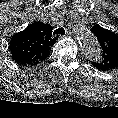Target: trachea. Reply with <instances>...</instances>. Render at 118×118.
I'll use <instances>...</instances> for the list:
<instances>
[{
	"mask_svg": "<svg viewBox=\"0 0 118 118\" xmlns=\"http://www.w3.org/2000/svg\"><path fill=\"white\" fill-rule=\"evenodd\" d=\"M54 35L60 34V35H64L65 34V30L62 27L57 28L54 32Z\"/></svg>",
	"mask_w": 118,
	"mask_h": 118,
	"instance_id": "obj_1",
	"label": "trachea"
}]
</instances>
